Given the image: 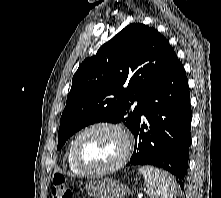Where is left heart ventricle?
<instances>
[{"mask_svg": "<svg viewBox=\"0 0 221 198\" xmlns=\"http://www.w3.org/2000/svg\"><path fill=\"white\" fill-rule=\"evenodd\" d=\"M124 143L111 129H95L85 134L78 143L80 161L90 168H103L115 163L121 156Z\"/></svg>", "mask_w": 221, "mask_h": 198, "instance_id": "b2bd125f", "label": "left heart ventricle"}]
</instances>
